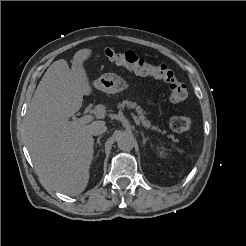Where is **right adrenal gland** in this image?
<instances>
[{
    "instance_id": "right-adrenal-gland-1",
    "label": "right adrenal gland",
    "mask_w": 246,
    "mask_h": 246,
    "mask_svg": "<svg viewBox=\"0 0 246 246\" xmlns=\"http://www.w3.org/2000/svg\"><path fill=\"white\" fill-rule=\"evenodd\" d=\"M101 137H102V136H99V137L97 138L96 144L100 145V139H101Z\"/></svg>"
}]
</instances>
